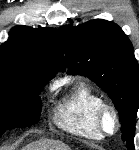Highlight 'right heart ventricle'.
<instances>
[{
  "label": "right heart ventricle",
  "instance_id": "right-heart-ventricle-1",
  "mask_svg": "<svg viewBox=\"0 0 139 150\" xmlns=\"http://www.w3.org/2000/svg\"><path fill=\"white\" fill-rule=\"evenodd\" d=\"M103 102L101 97L85 83L77 84L60 103L56 124L67 132L88 139L103 138L95 124V113Z\"/></svg>",
  "mask_w": 139,
  "mask_h": 150
}]
</instances>
